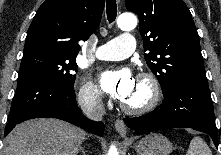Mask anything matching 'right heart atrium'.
<instances>
[{
  "label": "right heart atrium",
  "mask_w": 221,
  "mask_h": 155,
  "mask_svg": "<svg viewBox=\"0 0 221 155\" xmlns=\"http://www.w3.org/2000/svg\"><path fill=\"white\" fill-rule=\"evenodd\" d=\"M78 99L84 106L95 107L102 103V94L93 82L84 79L78 90Z\"/></svg>",
  "instance_id": "right-heart-atrium-1"
}]
</instances>
